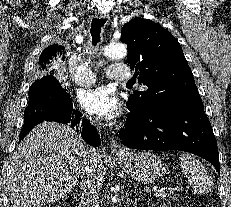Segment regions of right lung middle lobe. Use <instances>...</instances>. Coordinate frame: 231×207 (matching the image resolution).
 I'll list each match as a JSON object with an SVG mask.
<instances>
[{
  "instance_id": "right-lung-middle-lobe-1",
  "label": "right lung middle lobe",
  "mask_w": 231,
  "mask_h": 207,
  "mask_svg": "<svg viewBox=\"0 0 231 207\" xmlns=\"http://www.w3.org/2000/svg\"><path fill=\"white\" fill-rule=\"evenodd\" d=\"M37 82H39V80H36L34 83H37ZM33 95V92L31 91V88H30V90H29V96L31 97Z\"/></svg>"
}]
</instances>
